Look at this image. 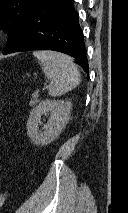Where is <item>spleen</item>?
<instances>
[{
    "mask_svg": "<svg viewBox=\"0 0 128 213\" xmlns=\"http://www.w3.org/2000/svg\"><path fill=\"white\" fill-rule=\"evenodd\" d=\"M33 55L42 63L50 80V96H61L79 85L80 73L71 57L54 51H34Z\"/></svg>",
    "mask_w": 128,
    "mask_h": 213,
    "instance_id": "1",
    "label": "spleen"
}]
</instances>
